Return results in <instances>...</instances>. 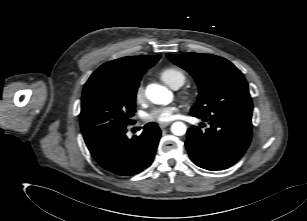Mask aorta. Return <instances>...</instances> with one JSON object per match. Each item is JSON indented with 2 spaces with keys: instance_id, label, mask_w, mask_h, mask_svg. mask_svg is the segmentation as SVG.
<instances>
[{
  "instance_id": "1",
  "label": "aorta",
  "mask_w": 307,
  "mask_h": 221,
  "mask_svg": "<svg viewBox=\"0 0 307 221\" xmlns=\"http://www.w3.org/2000/svg\"><path fill=\"white\" fill-rule=\"evenodd\" d=\"M147 98L158 105H167L171 103L173 94L165 86L159 84H150L146 88ZM187 127L182 122H175L171 126V132L176 136H182L186 133Z\"/></svg>"
}]
</instances>
